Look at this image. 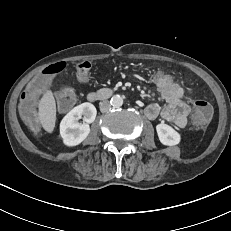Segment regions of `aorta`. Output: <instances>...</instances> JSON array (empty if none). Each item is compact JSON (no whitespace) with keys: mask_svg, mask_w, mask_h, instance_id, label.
<instances>
[{"mask_svg":"<svg viewBox=\"0 0 231 231\" xmlns=\"http://www.w3.org/2000/svg\"><path fill=\"white\" fill-rule=\"evenodd\" d=\"M110 104L114 107V108H119L123 105V98L120 95H114L111 100H110Z\"/></svg>","mask_w":231,"mask_h":231,"instance_id":"obj_1","label":"aorta"}]
</instances>
